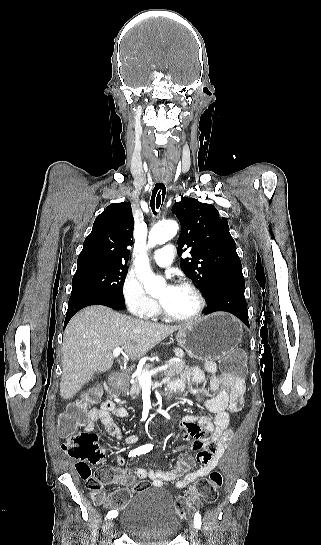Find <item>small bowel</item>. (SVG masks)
I'll list each match as a JSON object with an SVG mask.
<instances>
[{
    "instance_id": "small-bowel-1",
    "label": "small bowel",
    "mask_w": 321,
    "mask_h": 545,
    "mask_svg": "<svg viewBox=\"0 0 321 545\" xmlns=\"http://www.w3.org/2000/svg\"><path fill=\"white\" fill-rule=\"evenodd\" d=\"M218 368L214 361H207L202 366L195 365L186 369L181 378L174 383L178 390L184 391L192 384H199L205 380L206 374H213L209 382V388L215 392L211 398L205 399L196 393V400L202 404L214 418L206 415H187L183 419L182 434L185 440L190 441V449L196 451L195 457L183 453L173 470L164 472L161 470H147L137 468L134 473L125 469V460L122 456H116L118 467L104 464V458L108 453L106 448L101 449L98 459L79 460L76 469L82 473L92 475L91 465H100V471L104 476L103 483H126L135 474L140 479H149L154 487L163 488L172 482L176 489H183L195 480L205 477L215 469L226 448L234 435V429L230 425L229 413L239 412L243 405V397L246 386L243 378H234L226 374L216 375ZM128 415L124 407L116 406L114 401L106 400L100 408H92L88 420L84 425L86 432H92L96 423H99L109 435L116 437L126 444L137 443L136 435L124 436L112 417L123 418ZM196 463L200 466L191 470Z\"/></svg>"
}]
</instances>
